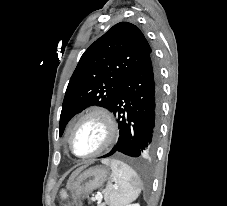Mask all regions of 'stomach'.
Instances as JSON below:
<instances>
[{
    "label": "stomach",
    "instance_id": "1",
    "mask_svg": "<svg viewBox=\"0 0 227 206\" xmlns=\"http://www.w3.org/2000/svg\"><path fill=\"white\" fill-rule=\"evenodd\" d=\"M108 174V169L103 166L91 167L81 173L70 186L74 197V202H70V206H75V203L76 206H81L79 201L100 188L108 179Z\"/></svg>",
    "mask_w": 227,
    "mask_h": 206
}]
</instances>
